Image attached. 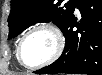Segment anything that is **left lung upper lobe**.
Here are the masks:
<instances>
[{
	"label": "left lung upper lobe",
	"instance_id": "5c2ea615",
	"mask_svg": "<svg viewBox=\"0 0 102 75\" xmlns=\"http://www.w3.org/2000/svg\"><path fill=\"white\" fill-rule=\"evenodd\" d=\"M80 0H11L8 17L9 37L12 39L29 26L52 21L60 29L73 14Z\"/></svg>",
	"mask_w": 102,
	"mask_h": 75
}]
</instances>
